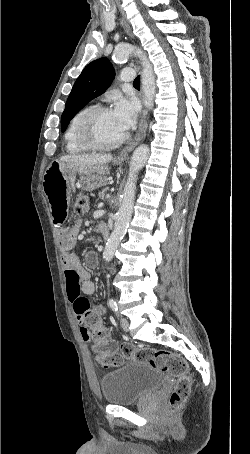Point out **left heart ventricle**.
Segmentation results:
<instances>
[{
  "mask_svg": "<svg viewBox=\"0 0 250 454\" xmlns=\"http://www.w3.org/2000/svg\"><path fill=\"white\" fill-rule=\"evenodd\" d=\"M93 138L100 143H111L126 133L119 127L112 111L97 116L90 126Z\"/></svg>",
  "mask_w": 250,
  "mask_h": 454,
  "instance_id": "1",
  "label": "left heart ventricle"
}]
</instances>
